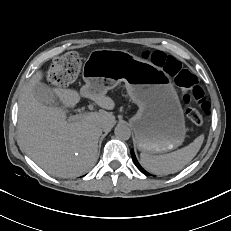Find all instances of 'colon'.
Listing matches in <instances>:
<instances>
[{
    "mask_svg": "<svg viewBox=\"0 0 231 231\" xmlns=\"http://www.w3.org/2000/svg\"><path fill=\"white\" fill-rule=\"evenodd\" d=\"M153 63L175 79L183 90L182 99L187 109L186 121L190 126L200 125L208 115L210 104L196 76L173 56L161 51L146 53ZM81 68V59L75 52L66 53L56 58L48 69V78L54 84H66L75 79Z\"/></svg>",
    "mask_w": 231,
    "mask_h": 231,
    "instance_id": "colon-1",
    "label": "colon"
}]
</instances>
